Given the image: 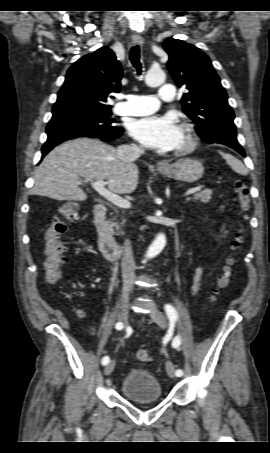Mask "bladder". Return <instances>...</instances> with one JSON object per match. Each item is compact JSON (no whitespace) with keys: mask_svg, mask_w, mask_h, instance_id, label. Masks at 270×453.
<instances>
[{"mask_svg":"<svg viewBox=\"0 0 270 453\" xmlns=\"http://www.w3.org/2000/svg\"><path fill=\"white\" fill-rule=\"evenodd\" d=\"M122 395L134 403L158 402L163 398L160 381L149 371L131 369L120 384Z\"/></svg>","mask_w":270,"mask_h":453,"instance_id":"31cf9c89","label":"bladder"}]
</instances>
